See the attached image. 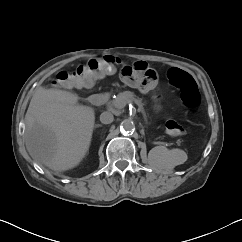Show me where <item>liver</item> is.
Segmentation results:
<instances>
[{
	"label": "liver",
	"instance_id": "6515ba94",
	"mask_svg": "<svg viewBox=\"0 0 242 242\" xmlns=\"http://www.w3.org/2000/svg\"><path fill=\"white\" fill-rule=\"evenodd\" d=\"M94 123V109L80 105L76 94L39 87L25 115L26 148L53 171L72 169L89 149Z\"/></svg>",
	"mask_w": 242,
	"mask_h": 242
}]
</instances>
